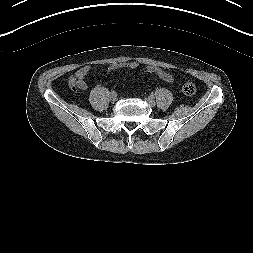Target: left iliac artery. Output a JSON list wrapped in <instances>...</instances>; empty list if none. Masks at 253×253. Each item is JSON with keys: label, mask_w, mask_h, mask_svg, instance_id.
Listing matches in <instances>:
<instances>
[{"label": "left iliac artery", "mask_w": 253, "mask_h": 253, "mask_svg": "<svg viewBox=\"0 0 253 253\" xmlns=\"http://www.w3.org/2000/svg\"><path fill=\"white\" fill-rule=\"evenodd\" d=\"M150 97L153 99V98H154V94H153V93H151Z\"/></svg>", "instance_id": "44dca946"}]
</instances>
